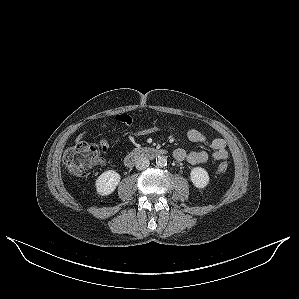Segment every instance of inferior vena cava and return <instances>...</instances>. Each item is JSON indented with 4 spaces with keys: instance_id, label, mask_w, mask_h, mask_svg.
<instances>
[{
    "instance_id": "obj_1",
    "label": "inferior vena cava",
    "mask_w": 299,
    "mask_h": 299,
    "mask_svg": "<svg viewBox=\"0 0 299 299\" xmlns=\"http://www.w3.org/2000/svg\"><path fill=\"white\" fill-rule=\"evenodd\" d=\"M149 165H150V162H149V160H148L147 158H145V157H140V158H138L137 161H136V168H137L138 170H144V169L148 168Z\"/></svg>"
}]
</instances>
